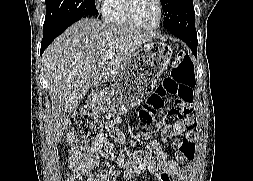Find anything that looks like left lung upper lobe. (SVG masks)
Returning a JSON list of instances; mask_svg holds the SVG:
<instances>
[{
	"instance_id": "1",
	"label": "left lung upper lobe",
	"mask_w": 253,
	"mask_h": 181,
	"mask_svg": "<svg viewBox=\"0 0 253 181\" xmlns=\"http://www.w3.org/2000/svg\"><path fill=\"white\" fill-rule=\"evenodd\" d=\"M161 4L165 12L163 23L167 30L197 35L193 0H161Z\"/></svg>"
}]
</instances>
